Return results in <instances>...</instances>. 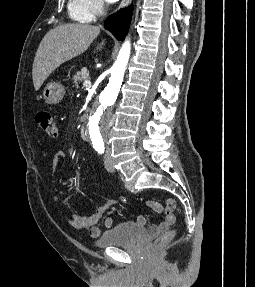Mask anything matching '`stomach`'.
Listing matches in <instances>:
<instances>
[{
    "label": "stomach",
    "mask_w": 255,
    "mask_h": 287,
    "mask_svg": "<svg viewBox=\"0 0 255 287\" xmlns=\"http://www.w3.org/2000/svg\"><path fill=\"white\" fill-rule=\"evenodd\" d=\"M65 90L58 82H49L43 90V98L46 104H59L63 100Z\"/></svg>",
    "instance_id": "stomach-1"
}]
</instances>
